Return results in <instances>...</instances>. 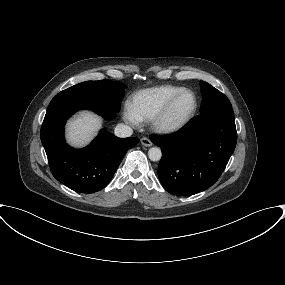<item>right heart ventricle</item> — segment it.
Wrapping results in <instances>:
<instances>
[{
  "label": "right heart ventricle",
  "instance_id": "e07e8e85",
  "mask_svg": "<svg viewBox=\"0 0 285 285\" xmlns=\"http://www.w3.org/2000/svg\"><path fill=\"white\" fill-rule=\"evenodd\" d=\"M185 88L175 85H162L142 89L134 93L129 107L141 121L152 119L166 102Z\"/></svg>",
  "mask_w": 285,
  "mask_h": 285
}]
</instances>
